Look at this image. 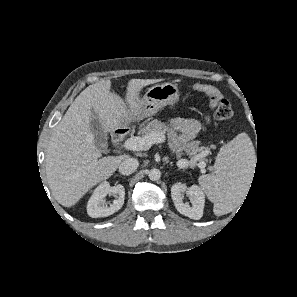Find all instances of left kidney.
Segmentation results:
<instances>
[{
    "mask_svg": "<svg viewBox=\"0 0 297 297\" xmlns=\"http://www.w3.org/2000/svg\"><path fill=\"white\" fill-rule=\"evenodd\" d=\"M183 193L192 197V206H190L189 203L183 202ZM171 197L175 208L182 215L195 220H199L203 216L205 194L199 186L192 185L187 188L180 182L175 183L171 188Z\"/></svg>",
    "mask_w": 297,
    "mask_h": 297,
    "instance_id": "obj_1",
    "label": "left kidney"
}]
</instances>
